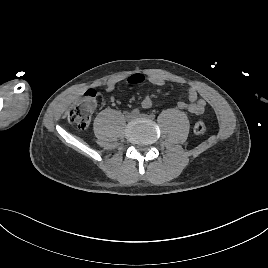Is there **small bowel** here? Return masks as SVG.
I'll return each instance as SVG.
<instances>
[{
	"mask_svg": "<svg viewBox=\"0 0 268 268\" xmlns=\"http://www.w3.org/2000/svg\"><path fill=\"white\" fill-rule=\"evenodd\" d=\"M128 83L140 84L144 81H148L154 86L161 87L165 84V79L158 75L145 76L141 73H135L128 77ZM115 87V83L109 82L106 84V91H112ZM188 101H180L177 107L181 110H186L193 115H201L206 107V102L198 97V92L195 88L191 87L185 91ZM153 102L150 96H145L141 102V106L148 109L152 106Z\"/></svg>",
	"mask_w": 268,
	"mask_h": 268,
	"instance_id": "1",
	"label": "small bowel"
}]
</instances>
